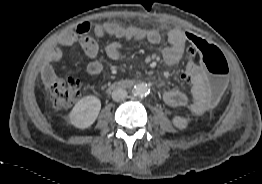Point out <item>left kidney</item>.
Listing matches in <instances>:
<instances>
[{
	"label": "left kidney",
	"mask_w": 262,
	"mask_h": 184,
	"mask_svg": "<svg viewBox=\"0 0 262 184\" xmlns=\"http://www.w3.org/2000/svg\"><path fill=\"white\" fill-rule=\"evenodd\" d=\"M175 127L185 129L188 126V120L184 117L175 116L172 120Z\"/></svg>",
	"instance_id": "left-kidney-1"
}]
</instances>
